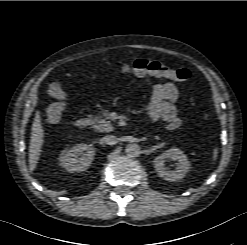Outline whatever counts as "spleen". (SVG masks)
<instances>
[{"label":"spleen","mask_w":247,"mask_h":245,"mask_svg":"<svg viewBox=\"0 0 247 245\" xmlns=\"http://www.w3.org/2000/svg\"><path fill=\"white\" fill-rule=\"evenodd\" d=\"M217 153H218V150L215 148L214 151H213V161L216 160V158H217Z\"/></svg>","instance_id":"spleen-1"}]
</instances>
